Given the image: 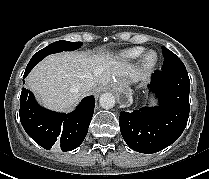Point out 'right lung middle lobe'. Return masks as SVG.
Listing matches in <instances>:
<instances>
[{
	"label": "right lung middle lobe",
	"mask_w": 209,
	"mask_h": 179,
	"mask_svg": "<svg viewBox=\"0 0 209 179\" xmlns=\"http://www.w3.org/2000/svg\"><path fill=\"white\" fill-rule=\"evenodd\" d=\"M82 42H69V41H57L51 43L47 47L43 48L42 50L38 51L30 60L27 68L34 67L39 61H41L44 57L49 54L58 53L62 51H73L78 49L82 46Z\"/></svg>",
	"instance_id": "1"
}]
</instances>
